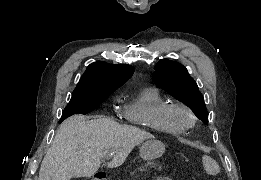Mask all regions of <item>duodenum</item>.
I'll return each mask as SVG.
<instances>
[{
	"label": "duodenum",
	"mask_w": 261,
	"mask_h": 180,
	"mask_svg": "<svg viewBox=\"0 0 261 180\" xmlns=\"http://www.w3.org/2000/svg\"><path fill=\"white\" fill-rule=\"evenodd\" d=\"M95 180H108V177L104 173H95Z\"/></svg>",
	"instance_id": "1"
}]
</instances>
